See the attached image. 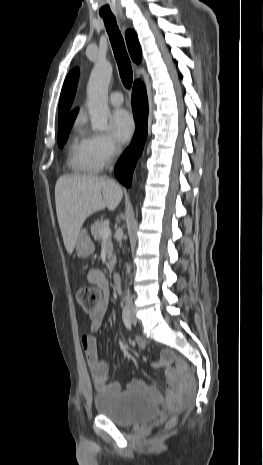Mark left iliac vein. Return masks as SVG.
Listing matches in <instances>:
<instances>
[{"mask_svg": "<svg viewBox=\"0 0 263 465\" xmlns=\"http://www.w3.org/2000/svg\"><path fill=\"white\" fill-rule=\"evenodd\" d=\"M131 321H132L133 324L137 323V319H136L133 311L131 312Z\"/></svg>", "mask_w": 263, "mask_h": 465, "instance_id": "obj_1", "label": "left iliac vein"}]
</instances>
